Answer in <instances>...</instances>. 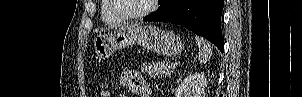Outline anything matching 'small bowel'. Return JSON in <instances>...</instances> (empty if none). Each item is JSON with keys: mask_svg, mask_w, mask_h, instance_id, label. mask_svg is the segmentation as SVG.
<instances>
[{"mask_svg": "<svg viewBox=\"0 0 302 97\" xmlns=\"http://www.w3.org/2000/svg\"><path fill=\"white\" fill-rule=\"evenodd\" d=\"M120 85L140 97H150L149 86L140 74L130 68H125L119 76Z\"/></svg>", "mask_w": 302, "mask_h": 97, "instance_id": "c3829d8e", "label": "small bowel"}]
</instances>
